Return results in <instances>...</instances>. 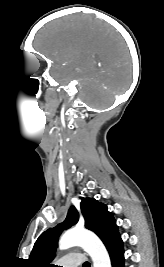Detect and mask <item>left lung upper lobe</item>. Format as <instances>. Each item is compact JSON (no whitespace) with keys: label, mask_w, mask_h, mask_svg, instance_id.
Instances as JSON below:
<instances>
[{"label":"left lung upper lobe","mask_w":164,"mask_h":267,"mask_svg":"<svg viewBox=\"0 0 164 267\" xmlns=\"http://www.w3.org/2000/svg\"><path fill=\"white\" fill-rule=\"evenodd\" d=\"M81 199V212L85 219V227L93 231L103 242L117 229L116 221L105 204L94 198ZM79 220V213L72 206L63 223L43 232L34 244L29 257L31 267H54L50 262L55 256V250L60 234L63 230L75 225Z\"/></svg>","instance_id":"5c2ea615"}]
</instances>
